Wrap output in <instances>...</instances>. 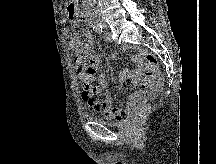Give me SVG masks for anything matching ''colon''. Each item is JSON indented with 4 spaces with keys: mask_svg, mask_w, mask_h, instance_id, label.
Instances as JSON below:
<instances>
[{
    "mask_svg": "<svg viewBox=\"0 0 216 164\" xmlns=\"http://www.w3.org/2000/svg\"><path fill=\"white\" fill-rule=\"evenodd\" d=\"M156 66H157V59L155 56H153L152 54H147L145 57V76L142 79V81L140 82L141 86L143 88L149 87L153 81L156 78ZM80 70L82 71H87V72H93V68L89 65H85V64H81L80 65ZM137 84V81L133 80V79H127L126 81H124L123 86L125 88H132ZM148 107H143L139 110L138 112V118L140 120H143L147 114H148Z\"/></svg>",
    "mask_w": 216,
    "mask_h": 164,
    "instance_id": "obj_1",
    "label": "colon"
}]
</instances>
